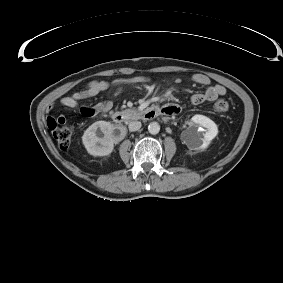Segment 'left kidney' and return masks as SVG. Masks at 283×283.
Returning <instances> with one entry per match:
<instances>
[{"label":"left kidney","instance_id":"5707ae66","mask_svg":"<svg viewBox=\"0 0 283 283\" xmlns=\"http://www.w3.org/2000/svg\"><path fill=\"white\" fill-rule=\"evenodd\" d=\"M217 134L218 127L214 121L204 115L196 114L191 118L186 129L185 144L190 150H205Z\"/></svg>","mask_w":283,"mask_h":283}]
</instances>
